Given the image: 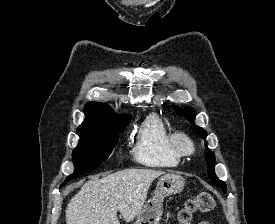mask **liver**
<instances>
[{
    "mask_svg": "<svg viewBox=\"0 0 275 224\" xmlns=\"http://www.w3.org/2000/svg\"><path fill=\"white\" fill-rule=\"evenodd\" d=\"M163 171L126 169L87 181L66 207V224H120L117 211L129 223L141 212L148 189Z\"/></svg>",
    "mask_w": 275,
    "mask_h": 224,
    "instance_id": "6515ba94",
    "label": "liver"
}]
</instances>
